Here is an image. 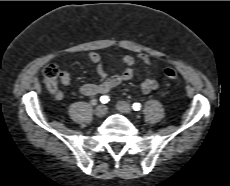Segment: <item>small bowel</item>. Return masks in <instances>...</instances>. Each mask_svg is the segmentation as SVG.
Instances as JSON below:
<instances>
[{
	"label": "small bowel",
	"instance_id": "small-bowel-1",
	"mask_svg": "<svg viewBox=\"0 0 230 186\" xmlns=\"http://www.w3.org/2000/svg\"><path fill=\"white\" fill-rule=\"evenodd\" d=\"M88 58L90 62H92L96 66V72L99 77V82L83 84L80 87L79 92L85 96H94L98 94L108 93L111 89L117 87L122 82L131 80L134 76V66L137 61H140L144 65L146 70H148L151 64L150 58L145 54H138L136 56L127 55L122 59V64L124 66V70L122 71V73H113L108 76L102 64L101 56L99 53L92 51L89 53ZM60 82L64 85H67L71 82V75L68 71L64 70L61 72ZM158 86V81L152 76L145 77L140 84L141 90L145 94L156 90ZM55 96L58 100L63 99L62 92H57Z\"/></svg>",
	"mask_w": 230,
	"mask_h": 186
}]
</instances>
